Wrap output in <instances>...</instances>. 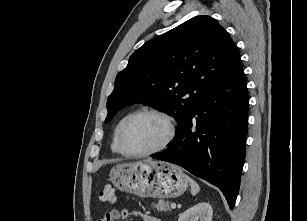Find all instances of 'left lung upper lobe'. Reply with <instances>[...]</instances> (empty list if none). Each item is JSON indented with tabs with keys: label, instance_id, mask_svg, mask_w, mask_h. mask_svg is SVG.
<instances>
[{
	"label": "left lung upper lobe",
	"instance_id": "obj_1",
	"mask_svg": "<svg viewBox=\"0 0 307 221\" xmlns=\"http://www.w3.org/2000/svg\"><path fill=\"white\" fill-rule=\"evenodd\" d=\"M239 57L236 44L217 20L196 16L130 56L108 97L105 122L127 105L144 103L172 115L181 128Z\"/></svg>",
	"mask_w": 307,
	"mask_h": 221
}]
</instances>
